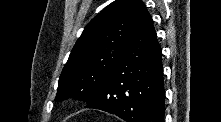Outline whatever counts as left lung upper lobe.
<instances>
[{"mask_svg": "<svg viewBox=\"0 0 221 122\" xmlns=\"http://www.w3.org/2000/svg\"><path fill=\"white\" fill-rule=\"evenodd\" d=\"M140 0H116L85 27L58 82L55 101L74 97L90 102L121 56L135 24Z\"/></svg>", "mask_w": 221, "mask_h": 122, "instance_id": "1", "label": "left lung upper lobe"}]
</instances>
